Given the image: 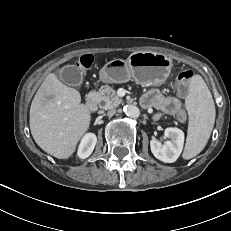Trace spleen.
<instances>
[{"mask_svg":"<svg viewBox=\"0 0 231 231\" xmlns=\"http://www.w3.org/2000/svg\"><path fill=\"white\" fill-rule=\"evenodd\" d=\"M189 116L188 133L183 158L198 155L206 146L215 122V105L212 95L200 75H194L186 97Z\"/></svg>","mask_w":231,"mask_h":231,"instance_id":"obj_1","label":"spleen"}]
</instances>
